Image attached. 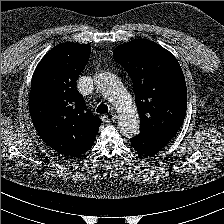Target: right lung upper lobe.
I'll return each mask as SVG.
<instances>
[{
    "instance_id": "right-lung-upper-lobe-1",
    "label": "right lung upper lobe",
    "mask_w": 224,
    "mask_h": 224,
    "mask_svg": "<svg viewBox=\"0 0 224 224\" xmlns=\"http://www.w3.org/2000/svg\"><path fill=\"white\" fill-rule=\"evenodd\" d=\"M90 53L87 44H60L42 58L32 77V122L42 140L62 155L77 157L88 151L101 125L76 88Z\"/></svg>"
}]
</instances>
